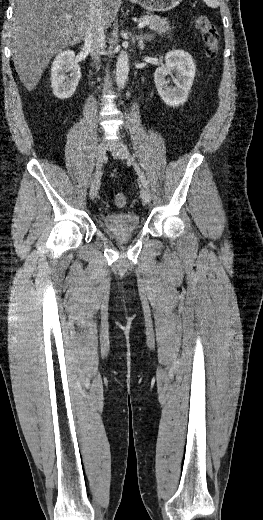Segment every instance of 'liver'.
I'll list each match as a JSON object with an SVG mask.
<instances>
[{
	"mask_svg": "<svg viewBox=\"0 0 263 520\" xmlns=\"http://www.w3.org/2000/svg\"><path fill=\"white\" fill-rule=\"evenodd\" d=\"M118 4V0H101L104 27L113 22ZM91 6L92 0H13L12 56L28 91L36 87L55 54L84 38Z\"/></svg>",
	"mask_w": 263,
	"mask_h": 520,
	"instance_id": "6515ba94",
	"label": "liver"
}]
</instances>
